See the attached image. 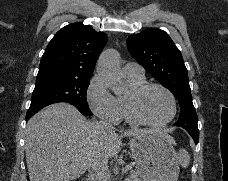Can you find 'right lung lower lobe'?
Returning a JSON list of instances; mask_svg holds the SVG:
<instances>
[{
    "label": "right lung lower lobe",
    "mask_w": 228,
    "mask_h": 181,
    "mask_svg": "<svg viewBox=\"0 0 228 181\" xmlns=\"http://www.w3.org/2000/svg\"><path fill=\"white\" fill-rule=\"evenodd\" d=\"M43 107L40 108H29L27 114H26V121L30 119L34 114H36L38 111H40Z\"/></svg>",
    "instance_id": "right-lung-lower-lobe-1"
}]
</instances>
